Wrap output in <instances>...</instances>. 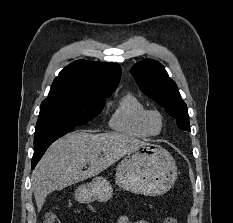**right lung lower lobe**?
<instances>
[{
    "label": "right lung lower lobe",
    "mask_w": 233,
    "mask_h": 223,
    "mask_svg": "<svg viewBox=\"0 0 233 223\" xmlns=\"http://www.w3.org/2000/svg\"><path fill=\"white\" fill-rule=\"evenodd\" d=\"M47 150V149H46ZM45 152H41V153H38L36 155H33V158H32V169H34V167L36 166L37 162L40 160V158L42 157V155L44 154Z\"/></svg>",
    "instance_id": "98d812e1"
}]
</instances>
